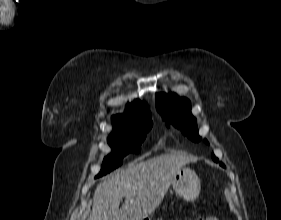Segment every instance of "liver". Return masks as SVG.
I'll list each match as a JSON object with an SVG mask.
<instances>
[{"label": "liver", "mask_w": 281, "mask_h": 220, "mask_svg": "<svg viewBox=\"0 0 281 220\" xmlns=\"http://www.w3.org/2000/svg\"><path fill=\"white\" fill-rule=\"evenodd\" d=\"M192 161L181 152L131 164L96 187L88 220H143L162 202L176 173ZM125 201L119 209L122 199Z\"/></svg>", "instance_id": "liver-1"}]
</instances>
